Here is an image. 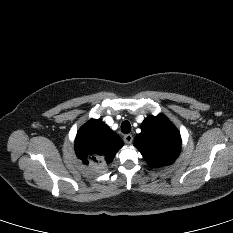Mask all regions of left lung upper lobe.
<instances>
[{"label": "left lung upper lobe", "mask_w": 233, "mask_h": 233, "mask_svg": "<svg viewBox=\"0 0 233 233\" xmlns=\"http://www.w3.org/2000/svg\"><path fill=\"white\" fill-rule=\"evenodd\" d=\"M136 148L154 168L171 164L181 149V137L176 127L163 114L147 117L141 133L134 139Z\"/></svg>", "instance_id": "obj_1"}]
</instances>
